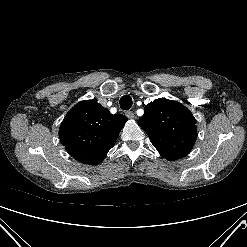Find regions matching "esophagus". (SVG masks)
Instances as JSON below:
<instances>
[{
	"instance_id": "obj_1",
	"label": "esophagus",
	"mask_w": 247,
	"mask_h": 247,
	"mask_svg": "<svg viewBox=\"0 0 247 247\" xmlns=\"http://www.w3.org/2000/svg\"><path fill=\"white\" fill-rule=\"evenodd\" d=\"M125 114L130 119L134 118V112H132V111H127Z\"/></svg>"
}]
</instances>
